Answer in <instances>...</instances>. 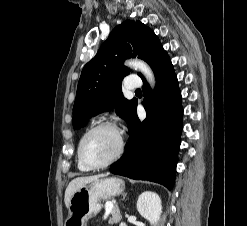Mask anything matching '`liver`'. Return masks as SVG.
<instances>
[{
    "label": "liver",
    "instance_id": "liver-1",
    "mask_svg": "<svg viewBox=\"0 0 247 226\" xmlns=\"http://www.w3.org/2000/svg\"><path fill=\"white\" fill-rule=\"evenodd\" d=\"M104 174H99V175H93V176H86V177H77L75 179H73L68 187L66 188L65 191V205L67 208H69V204H70V199L73 195V193L78 190L80 187H82L85 184H88L98 178L104 177Z\"/></svg>",
    "mask_w": 247,
    "mask_h": 226
}]
</instances>
